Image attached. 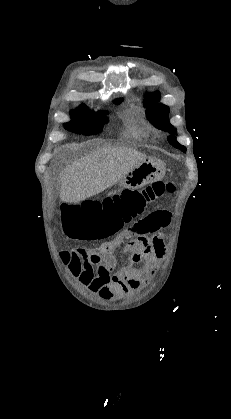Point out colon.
Here are the masks:
<instances>
[{"label":"colon","instance_id":"5ec220e1","mask_svg":"<svg viewBox=\"0 0 231 419\" xmlns=\"http://www.w3.org/2000/svg\"><path fill=\"white\" fill-rule=\"evenodd\" d=\"M173 190L174 185L170 182H156L142 189H125L101 201L63 204V226L74 237L105 240L140 216L148 204Z\"/></svg>","mask_w":231,"mask_h":419}]
</instances>
